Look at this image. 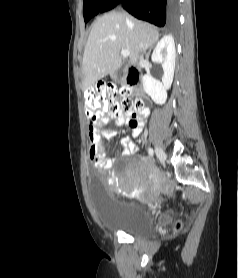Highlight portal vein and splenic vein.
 <instances>
[{"mask_svg": "<svg viewBox=\"0 0 238 278\" xmlns=\"http://www.w3.org/2000/svg\"><path fill=\"white\" fill-rule=\"evenodd\" d=\"M121 55L126 58V57H129L130 53L128 50H122Z\"/></svg>", "mask_w": 238, "mask_h": 278, "instance_id": "portal-vein-and-splenic-vein-1", "label": "portal vein and splenic vein"}]
</instances>
